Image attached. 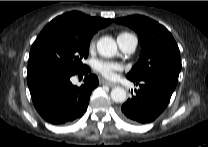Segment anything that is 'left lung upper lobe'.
<instances>
[{
	"label": "left lung upper lobe",
	"mask_w": 208,
	"mask_h": 147,
	"mask_svg": "<svg viewBox=\"0 0 208 147\" xmlns=\"http://www.w3.org/2000/svg\"><path fill=\"white\" fill-rule=\"evenodd\" d=\"M115 22L135 30L141 41L140 58L126 77L140 81L157 76L177 84L181 58L171 33L158 22L140 15L119 18Z\"/></svg>",
	"instance_id": "1"
}]
</instances>
